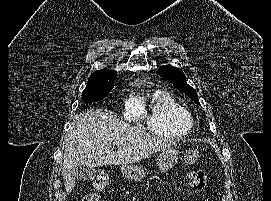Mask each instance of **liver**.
<instances>
[{
    "label": "liver",
    "instance_id": "liver-1",
    "mask_svg": "<svg viewBox=\"0 0 271 201\" xmlns=\"http://www.w3.org/2000/svg\"><path fill=\"white\" fill-rule=\"evenodd\" d=\"M174 141L148 134L103 109L77 115L65 143L62 176L67 195L75 187L79 165L95 168L128 165L173 145ZM117 146V152L113 151Z\"/></svg>",
    "mask_w": 271,
    "mask_h": 201
}]
</instances>
